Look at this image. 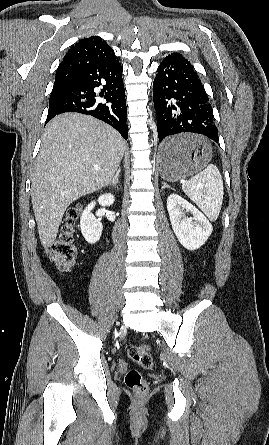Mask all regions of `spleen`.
Masks as SVG:
<instances>
[{
	"instance_id": "1",
	"label": "spleen",
	"mask_w": 269,
	"mask_h": 445,
	"mask_svg": "<svg viewBox=\"0 0 269 445\" xmlns=\"http://www.w3.org/2000/svg\"><path fill=\"white\" fill-rule=\"evenodd\" d=\"M182 189L209 220H217L223 202L224 188L222 176L214 164H209L203 171L182 182Z\"/></svg>"
}]
</instances>
